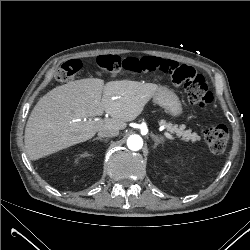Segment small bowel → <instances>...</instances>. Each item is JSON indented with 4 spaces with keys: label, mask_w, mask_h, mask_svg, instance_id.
Instances as JSON below:
<instances>
[{
    "label": "small bowel",
    "mask_w": 250,
    "mask_h": 250,
    "mask_svg": "<svg viewBox=\"0 0 250 250\" xmlns=\"http://www.w3.org/2000/svg\"><path fill=\"white\" fill-rule=\"evenodd\" d=\"M153 59H156V60H165V59H161V58H153ZM167 61H169L172 66L176 67V65H175V63L173 61H170V60H167Z\"/></svg>",
    "instance_id": "obj_1"
}]
</instances>
